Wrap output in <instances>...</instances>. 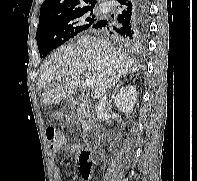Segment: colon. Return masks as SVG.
<instances>
[{"instance_id": "colon-1", "label": "colon", "mask_w": 197, "mask_h": 181, "mask_svg": "<svg viewBox=\"0 0 197 181\" xmlns=\"http://www.w3.org/2000/svg\"><path fill=\"white\" fill-rule=\"evenodd\" d=\"M60 118V115H56ZM47 141L52 150H59L63 142L62 137L58 134L54 126H48L45 131ZM79 171L83 178L88 179L91 176L93 163L91 160V153L87 150H82L78 156Z\"/></svg>"}]
</instances>
